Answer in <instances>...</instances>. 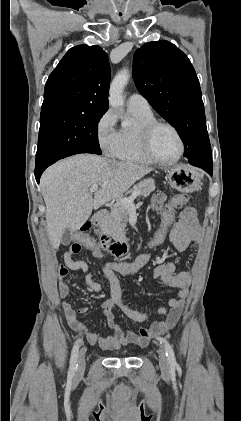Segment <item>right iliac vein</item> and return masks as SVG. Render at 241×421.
Listing matches in <instances>:
<instances>
[{"label": "right iliac vein", "instance_id": "right-iliac-vein-1", "mask_svg": "<svg viewBox=\"0 0 241 421\" xmlns=\"http://www.w3.org/2000/svg\"><path fill=\"white\" fill-rule=\"evenodd\" d=\"M85 356H86V347H83L80 350L79 357H78V367H77V374H82L85 370Z\"/></svg>", "mask_w": 241, "mask_h": 421}]
</instances>
